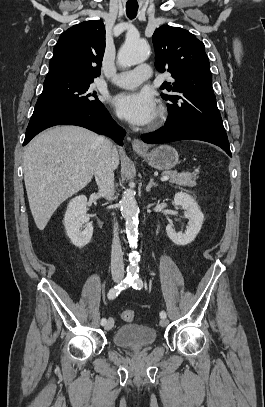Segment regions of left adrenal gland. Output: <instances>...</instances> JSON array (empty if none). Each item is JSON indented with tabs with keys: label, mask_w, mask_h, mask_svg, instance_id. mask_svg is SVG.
I'll list each match as a JSON object with an SVG mask.
<instances>
[{
	"label": "left adrenal gland",
	"mask_w": 265,
	"mask_h": 407,
	"mask_svg": "<svg viewBox=\"0 0 265 407\" xmlns=\"http://www.w3.org/2000/svg\"><path fill=\"white\" fill-rule=\"evenodd\" d=\"M157 186V184L154 182L153 178H150V181L146 187V192H149L152 187Z\"/></svg>",
	"instance_id": "a2214340"
}]
</instances>
